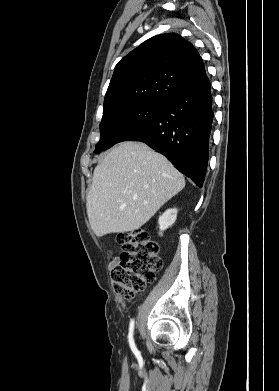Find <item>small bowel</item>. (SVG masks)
<instances>
[{
	"mask_svg": "<svg viewBox=\"0 0 279 391\" xmlns=\"http://www.w3.org/2000/svg\"><path fill=\"white\" fill-rule=\"evenodd\" d=\"M118 263V259H115L112 263H111V267H114L115 265H117Z\"/></svg>",
	"mask_w": 279,
	"mask_h": 391,
	"instance_id": "obj_1",
	"label": "small bowel"
}]
</instances>
